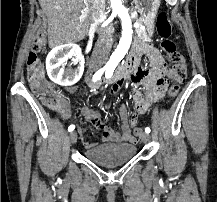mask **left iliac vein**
<instances>
[{
	"instance_id": "left-iliac-vein-1",
	"label": "left iliac vein",
	"mask_w": 217,
	"mask_h": 202,
	"mask_svg": "<svg viewBox=\"0 0 217 202\" xmlns=\"http://www.w3.org/2000/svg\"><path fill=\"white\" fill-rule=\"evenodd\" d=\"M140 139L143 141V142H148L149 140H150V135L149 134H147V133H142L141 135H140Z\"/></svg>"
}]
</instances>
